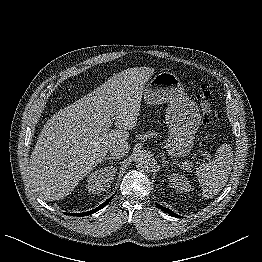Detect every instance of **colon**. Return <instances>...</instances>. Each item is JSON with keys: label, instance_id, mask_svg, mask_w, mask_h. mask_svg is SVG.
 <instances>
[{"label": "colon", "instance_id": "obj_1", "mask_svg": "<svg viewBox=\"0 0 262 262\" xmlns=\"http://www.w3.org/2000/svg\"><path fill=\"white\" fill-rule=\"evenodd\" d=\"M194 94L199 102L203 123L204 125H207L209 122V116L211 112L210 92L205 85H199L195 88Z\"/></svg>", "mask_w": 262, "mask_h": 262}]
</instances>
